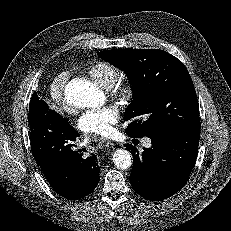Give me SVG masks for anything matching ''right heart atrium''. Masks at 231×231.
<instances>
[{
	"label": "right heart atrium",
	"mask_w": 231,
	"mask_h": 231,
	"mask_svg": "<svg viewBox=\"0 0 231 231\" xmlns=\"http://www.w3.org/2000/svg\"><path fill=\"white\" fill-rule=\"evenodd\" d=\"M68 78L69 75L67 72H60L53 77L50 85V94L53 101L59 104L62 109L66 111H69V106L64 98V90L68 82Z\"/></svg>",
	"instance_id": "obj_1"
}]
</instances>
